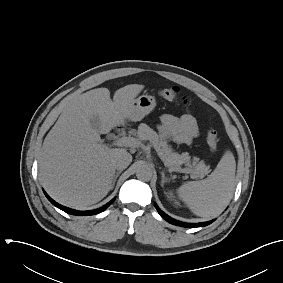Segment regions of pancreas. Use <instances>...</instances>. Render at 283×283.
I'll list each match as a JSON object with an SVG mask.
<instances>
[{"instance_id":"pancreas-1","label":"pancreas","mask_w":283,"mask_h":283,"mask_svg":"<svg viewBox=\"0 0 283 283\" xmlns=\"http://www.w3.org/2000/svg\"><path fill=\"white\" fill-rule=\"evenodd\" d=\"M137 137L140 141L149 140L161 147L164 162L166 163L167 167H169V169L176 170L180 168L182 164H185L186 166H188V169L191 170V176L193 178L204 177L210 171V167L205 165L204 161L198 162L196 160L191 164L188 153L178 154L177 152H173L164 136L157 134L145 123H141L139 125Z\"/></svg>"}]
</instances>
